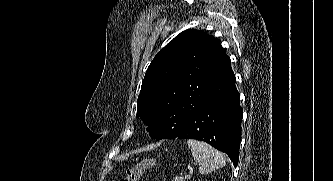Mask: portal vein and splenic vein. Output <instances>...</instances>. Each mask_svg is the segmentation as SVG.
<instances>
[{
	"instance_id": "18ae733b",
	"label": "portal vein and splenic vein",
	"mask_w": 333,
	"mask_h": 181,
	"mask_svg": "<svg viewBox=\"0 0 333 181\" xmlns=\"http://www.w3.org/2000/svg\"><path fill=\"white\" fill-rule=\"evenodd\" d=\"M190 178H191V174H188V175L185 176V179H187V180L190 179Z\"/></svg>"
}]
</instances>
